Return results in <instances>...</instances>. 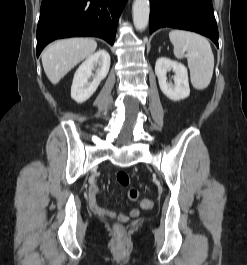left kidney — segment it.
Instances as JSON below:
<instances>
[{
  "label": "left kidney",
  "mask_w": 247,
  "mask_h": 265,
  "mask_svg": "<svg viewBox=\"0 0 247 265\" xmlns=\"http://www.w3.org/2000/svg\"><path fill=\"white\" fill-rule=\"evenodd\" d=\"M171 69L175 72L174 84L167 82V71ZM155 74L158 77L161 91L169 99L179 101L190 95L188 73L183 64L161 57L156 61Z\"/></svg>",
  "instance_id": "left-kidney-1"
}]
</instances>
